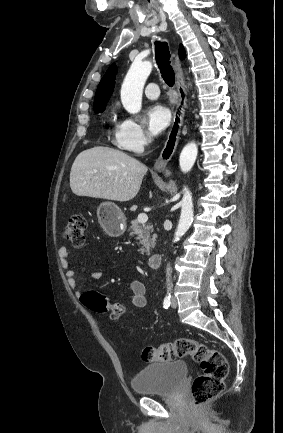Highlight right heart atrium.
Listing matches in <instances>:
<instances>
[{
  "label": "right heart atrium",
  "instance_id": "obj_1",
  "mask_svg": "<svg viewBox=\"0 0 283 433\" xmlns=\"http://www.w3.org/2000/svg\"><path fill=\"white\" fill-rule=\"evenodd\" d=\"M113 143L132 155H140L149 143V138L139 122L126 116L116 127Z\"/></svg>",
  "mask_w": 283,
  "mask_h": 433
}]
</instances>
